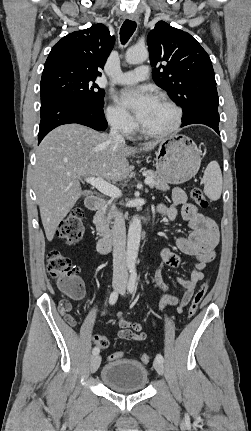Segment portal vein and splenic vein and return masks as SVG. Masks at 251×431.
<instances>
[{
	"label": "portal vein and splenic vein",
	"instance_id": "18ae733b",
	"mask_svg": "<svg viewBox=\"0 0 251 431\" xmlns=\"http://www.w3.org/2000/svg\"><path fill=\"white\" fill-rule=\"evenodd\" d=\"M85 181L109 197L117 198L122 195L121 190L118 187L106 182L100 177H87L85 178ZM152 181L151 177H146L144 182L146 185H149Z\"/></svg>",
	"mask_w": 251,
	"mask_h": 431
}]
</instances>
